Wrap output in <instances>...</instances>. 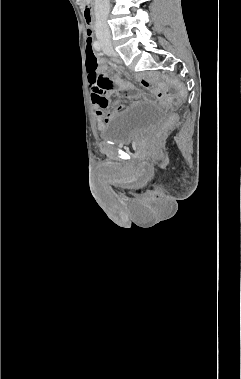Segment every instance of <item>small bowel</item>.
Masks as SVG:
<instances>
[{
	"instance_id": "small-bowel-1",
	"label": "small bowel",
	"mask_w": 241,
	"mask_h": 379,
	"mask_svg": "<svg viewBox=\"0 0 241 379\" xmlns=\"http://www.w3.org/2000/svg\"><path fill=\"white\" fill-rule=\"evenodd\" d=\"M88 38H90V39H88ZM88 38H87V40L92 41L90 32H88ZM100 75L103 78L110 80L109 78H107L103 74H100ZM112 82L115 83L119 87V89L125 93H129L130 91L133 90V84L132 83L125 82L122 79H120L119 77H115ZM140 83L143 87L149 86V81L146 79H140ZM89 84H90V82H89ZM111 91H112V89H109V90L105 91L103 95H99L96 93V91L94 89H92V102L94 105L96 117H97L100 125L107 122L109 117H110V111L108 108H109L111 101L107 97L106 94L111 92ZM117 108L121 109V108H123V106H118Z\"/></svg>"
}]
</instances>
